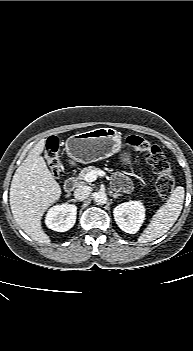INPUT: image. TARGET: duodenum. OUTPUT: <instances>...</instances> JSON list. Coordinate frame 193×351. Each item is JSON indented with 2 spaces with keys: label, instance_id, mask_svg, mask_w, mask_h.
Instances as JSON below:
<instances>
[{
  "label": "duodenum",
  "instance_id": "duodenum-1",
  "mask_svg": "<svg viewBox=\"0 0 193 351\" xmlns=\"http://www.w3.org/2000/svg\"><path fill=\"white\" fill-rule=\"evenodd\" d=\"M77 186V183L73 177L68 178L64 183V188L67 192H72Z\"/></svg>",
  "mask_w": 193,
  "mask_h": 351
}]
</instances>
